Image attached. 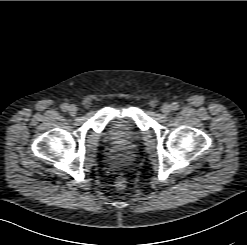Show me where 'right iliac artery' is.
Here are the masks:
<instances>
[{
    "mask_svg": "<svg viewBox=\"0 0 247 245\" xmlns=\"http://www.w3.org/2000/svg\"><path fill=\"white\" fill-rule=\"evenodd\" d=\"M68 108H69V106H68V104H66V103H64V104L61 105L62 111H67Z\"/></svg>",
    "mask_w": 247,
    "mask_h": 245,
    "instance_id": "1",
    "label": "right iliac artery"
}]
</instances>
